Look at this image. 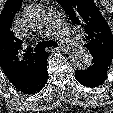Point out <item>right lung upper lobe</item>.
<instances>
[{
	"mask_svg": "<svg viewBox=\"0 0 113 113\" xmlns=\"http://www.w3.org/2000/svg\"><path fill=\"white\" fill-rule=\"evenodd\" d=\"M22 2L7 0L0 14V66L16 89L34 78L44 56V51L24 50L23 41L14 36L12 24Z\"/></svg>",
	"mask_w": 113,
	"mask_h": 113,
	"instance_id": "cb5924a9",
	"label": "right lung upper lobe"
}]
</instances>
